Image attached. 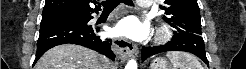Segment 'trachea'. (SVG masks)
<instances>
[{
    "label": "trachea",
    "instance_id": "1",
    "mask_svg": "<svg viewBox=\"0 0 246 69\" xmlns=\"http://www.w3.org/2000/svg\"><path fill=\"white\" fill-rule=\"evenodd\" d=\"M121 2L127 5H133L132 0H106L102 2V6L104 7V11H112Z\"/></svg>",
    "mask_w": 246,
    "mask_h": 69
}]
</instances>
